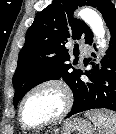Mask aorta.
I'll use <instances>...</instances> for the list:
<instances>
[{
    "label": "aorta",
    "mask_w": 116,
    "mask_h": 134,
    "mask_svg": "<svg viewBox=\"0 0 116 134\" xmlns=\"http://www.w3.org/2000/svg\"><path fill=\"white\" fill-rule=\"evenodd\" d=\"M78 15L91 27L93 33L98 39V47L105 48V29L102 18L94 10L89 8L82 9Z\"/></svg>",
    "instance_id": "762f6f07"
}]
</instances>
